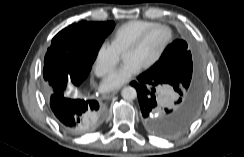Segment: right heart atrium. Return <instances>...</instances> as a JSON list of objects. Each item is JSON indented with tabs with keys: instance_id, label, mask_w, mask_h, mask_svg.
Segmentation results:
<instances>
[{
	"instance_id": "right-heart-atrium-1",
	"label": "right heart atrium",
	"mask_w": 244,
	"mask_h": 157,
	"mask_svg": "<svg viewBox=\"0 0 244 157\" xmlns=\"http://www.w3.org/2000/svg\"><path fill=\"white\" fill-rule=\"evenodd\" d=\"M120 52L112 42H102L95 56L94 69L99 77H105L118 65Z\"/></svg>"
}]
</instances>
